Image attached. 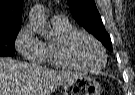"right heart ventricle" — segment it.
<instances>
[{
  "label": "right heart ventricle",
  "mask_w": 135,
  "mask_h": 95,
  "mask_svg": "<svg viewBox=\"0 0 135 95\" xmlns=\"http://www.w3.org/2000/svg\"><path fill=\"white\" fill-rule=\"evenodd\" d=\"M50 26L53 30L55 37L53 40L44 43L45 60L53 67H67L58 59L56 55V45L62 38L73 32L75 29L72 24L67 20H52Z\"/></svg>",
  "instance_id": "1"
}]
</instances>
